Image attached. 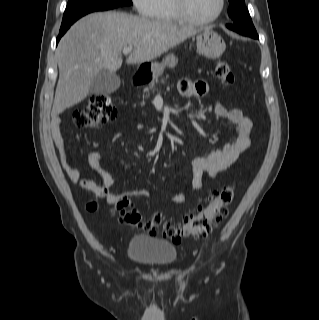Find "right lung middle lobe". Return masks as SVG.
Returning a JSON list of instances; mask_svg holds the SVG:
<instances>
[{
	"mask_svg": "<svg viewBox=\"0 0 319 320\" xmlns=\"http://www.w3.org/2000/svg\"><path fill=\"white\" fill-rule=\"evenodd\" d=\"M131 4V0H69L64 12L61 28L71 26L77 19L88 13Z\"/></svg>",
	"mask_w": 319,
	"mask_h": 320,
	"instance_id": "1",
	"label": "right lung middle lobe"
}]
</instances>
